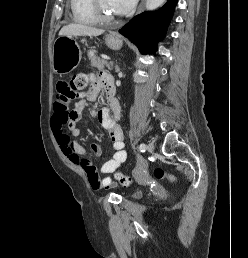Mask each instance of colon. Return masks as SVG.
I'll return each instance as SVG.
<instances>
[{"mask_svg": "<svg viewBox=\"0 0 248 258\" xmlns=\"http://www.w3.org/2000/svg\"><path fill=\"white\" fill-rule=\"evenodd\" d=\"M92 79L93 77L87 73L80 72L75 74L72 79L70 90L72 98L76 97L80 92L85 90L90 85ZM153 173L157 179H168L171 181L174 180V177L162 167H156ZM115 178L123 185H129L131 183V178L120 172L115 173Z\"/></svg>", "mask_w": 248, "mask_h": 258, "instance_id": "colon-1", "label": "colon"}]
</instances>
